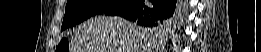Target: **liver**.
Masks as SVG:
<instances>
[{
	"instance_id": "liver-1",
	"label": "liver",
	"mask_w": 261,
	"mask_h": 52,
	"mask_svg": "<svg viewBox=\"0 0 261 52\" xmlns=\"http://www.w3.org/2000/svg\"><path fill=\"white\" fill-rule=\"evenodd\" d=\"M73 52H157L162 37L120 17L99 16L81 24L71 40Z\"/></svg>"
}]
</instances>
